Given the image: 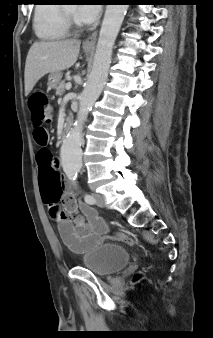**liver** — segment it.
Returning <instances> with one entry per match:
<instances>
[{
	"label": "liver",
	"mask_w": 213,
	"mask_h": 338,
	"mask_svg": "<svg viewBox=\"0 0 213 338\" xmlns=\"http://www.w3.org/2000/svg\"><path fill=\"white\" fill-rule=\"evenodd\" d=\"M80 44L79 40L35 42L25 63V96L44 75L72 67L77 61Z\"/></svg>",
	"instance_id": "6515ba94"
}]
</instances>
